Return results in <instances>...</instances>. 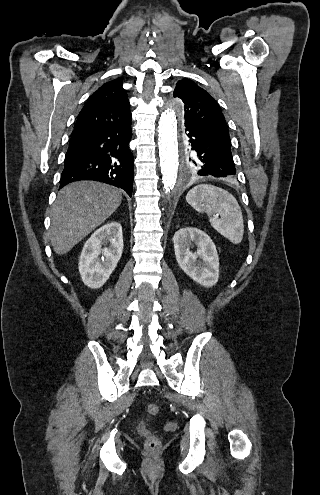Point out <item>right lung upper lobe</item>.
<instances>
[{
  "instance_id": "obj_1",
  "label": "right lung upper lobe",
  "mask_w": 320,
  "mask_h": 495,
  "mask_svg": "<svg viewBox=\"0 0 320 495\" xmlns=\"http://www.w3.org/2000/svg\"><path fill=\"white\" fill-rule=\"evenodd\" d=\"M131 122L130 103L120 78L104 83L85 103L71 136Z\"/></svg>"
}]
</instances>
